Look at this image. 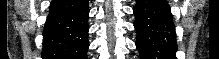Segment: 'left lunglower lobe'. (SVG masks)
<instances>
[{
	"mask_svg": "<svg viewBox=\"0 0 219 59\" xmlns=\"http://www.w3.org/2000/svg\"><path fill=\"white\" fill-rule=\"evenodd\" d=\"M140 59H175V25L165 0H137L133 8Z\"/></svg>",
	"mask_w": 219,
	"mask_h": 59,
	"instance_id": "obj_1",
	"label": "left lung lower lobe"
}]
</instances>
